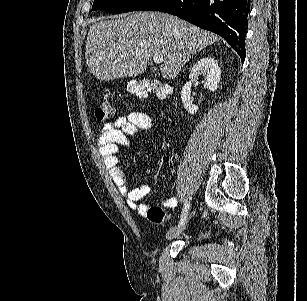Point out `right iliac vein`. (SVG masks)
<instances>
[{
    "label": "right iliac vein",
    "instance_id": "63e3f726",
    "mask_svg": "<svg viewBox=\"0 0 307 301\" xmlns=\"http://www.w3.org/2000/svg\"><path fill=\"white\" fill-rule=\"evenodd\" d=\"M189 218H190V216L186 219V221L182 225H179L178 227L176 226V227L170 229L169 232L166 234L165 238L167 240H172L176 236H178L183 231V229L185 228Z\"/></svg>",
    "mask_w": 307,
    "mask_h": 301
}]
</instances>
